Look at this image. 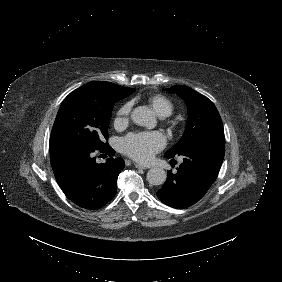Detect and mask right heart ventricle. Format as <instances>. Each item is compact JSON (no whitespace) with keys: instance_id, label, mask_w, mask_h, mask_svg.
<instances>
[{"instance_id":"obj_1","label":"right heart ventricle","mask_w":282,"mask_h":282,"mask_svg":"<svg viewBox=\"0 0 282 282\" xmlns=\"http://www.w3.org/2000/svg\"><path fill=\"white\" fill-rule=\"evenodd\" d=\"M150 105L152 106L153 110L161 117L170 115L173 110L171 102L160 95L152 97L150 99Z\"/></svg>"}]
</instances>
